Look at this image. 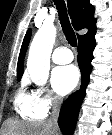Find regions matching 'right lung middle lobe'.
Masks as SVG:
<instances>
[{
    "label": "right lung middle lobe",
    "instance_id": "1",
    "mask_svg": "<svg viewBox=\"0 0 112 135\" xmlns=\"http://www.w3.org/2000/svg\"><path fill=\"white\" fill-rule=\"evenodd\" d=\"M20 79H21L20 77L17 78L18 81H20Z\"/></svg>",
    "mask_w": 112,
    "mask_h": 135
}]
</instances>
